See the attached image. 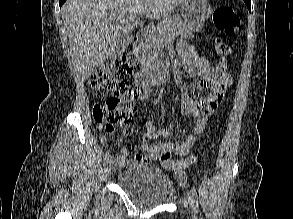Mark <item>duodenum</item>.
Instances as JSON below:
<instances>
[{"label":"duodenum","instance_id":"duodenum-1","mask_svg":"<svg viewBox=\"0 0 293 219\" xmlns=\"http://www.w3.org/2000/svg\"><path fill=\"white\" fill-rule=\"evenodd\" d=\"M147 38L146 29H142L137 34L136 49L140 50ZM169 70L164 66L149 67L135 76V82L139 86H149L155 83H163L169 78Z\"/></svg>","mask_w":293,"mask_h":219}]
</instances>
